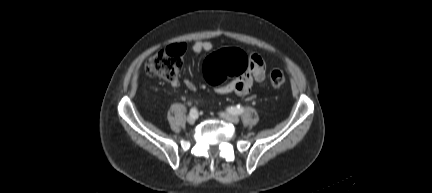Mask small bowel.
Instances as JSON below:
<instances>
[{"mask_svg": "<svg viewBox=\"0 0 432 193\" xmlns=\"http://www.w3.org/2000/svg\"><path fill=\"white\" fill-rule=\"evenodd\" d=\"M213 49V44L210 41H196L191 50L195 54L210 52ZM250 57V68L242 75L236 77L231 82L220 84L216 87L219 94H236L238 96H246L250 93L254 82H262L266 78V65L264 60L257 54H248ZM174 86H178V81L173 82ZM185 85L193 90L195 83L187 78Z\"/></svg>", "mask_w": 432, "mask_h": 193, "instance_id": "small-bowel-1", "label": "small bowel"}]
</instances>
